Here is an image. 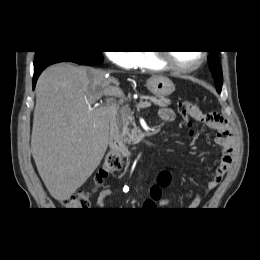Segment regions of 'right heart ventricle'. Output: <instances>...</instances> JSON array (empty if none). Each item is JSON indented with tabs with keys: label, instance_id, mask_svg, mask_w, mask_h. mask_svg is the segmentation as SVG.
Returning a JSON list of instances; mask_svg holds the SVG:
<instances>
[{
	"label": "right heart ventricle",
	"instance_id": "obj_1",
	"mask_svg": "<svg viewBox=\"0 0 260 260\" xmlns=\"http://www.w3.org/2000/svg\"><path fill=\"white\" fill-rule=\"evenodd\" d=\"M136 67L154 71H160L166 68L164 64L157 60L151 51H141L138 53Z\"/></svg>",
	"mask_w": 260,
	"mask_h": 260
}]
</instances>
